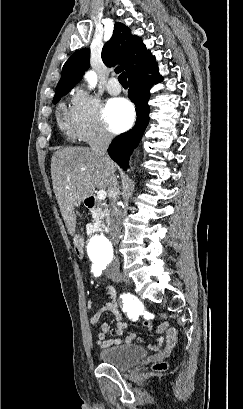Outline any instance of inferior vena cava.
<instances>
[{
	"mask_svg": "<svg viewBox=\"0 0 243 409\" xmlns=\"http://www.w3.org/2000/svg\"><path fill=\"white\" fill-rule=\"evenodd\" d=\"M111 140H112L111 134L105 130H101L91 141L90 143L91 150L98 156L107 159L106 152ZM108 191L110 199L109 202L110 239L112 244L116 246L121 232V221L120 208L118 205L120 190L114 173L110 174ZM119 266H120L119 259L115 258L111 263L110 268L112 270H118Z\"/></svg>",
	"mask_w": 243,
	"mask_h": 409,
	"instance_id": "inferior-vena-cava-1",
	"label": "inferior vena cava"
}]
</instances>
